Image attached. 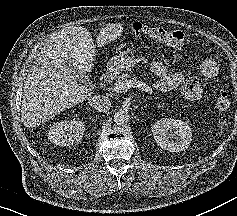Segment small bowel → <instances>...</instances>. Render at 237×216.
<instances>
[{
    "instance_id": "small-bowel-1",
    "label": "small bowel",
    "mask_w": 237,
    "mask_h": 216,
    "mask_svg": "<svg viewBox=\"0 0 237 216\" xmlns=\"http://www.w3.org/2000/svg\"><path fill=\"white\" fill-rule=\"evenodd\" d=\"M200 73L208 78L214 77L218 73L217 64L212 59H203L199 62ZM152 72L159 77L157 88L161 91L180 89L182 94L188 99H198L202 95V86L198 81L189 80L181 73L169 72L166 65L160 61L151 64Z\"/></svg>"
}]
</instances>
